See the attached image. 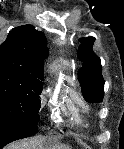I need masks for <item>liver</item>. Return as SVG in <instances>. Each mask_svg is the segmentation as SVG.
Masks as SVG:
<instances>
[{
  "label": "liver",
  "mask_w": 124,
  "mask_h": 149,
  "mask_svg": "<svg viewBox=\"0 0 124 149\" xmlns=\"http://www.w3.org/2000/svg\"><path fill=\"white\" fill-rule=\"evenodd\" d=\"M7 149H44L42 139H31L9 146Z\"/></svg>",
  "instance_id": "obj_1"
}]
</instances>
